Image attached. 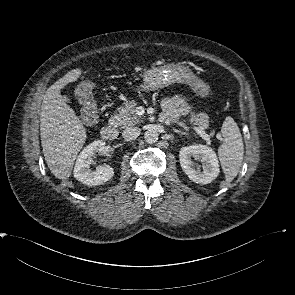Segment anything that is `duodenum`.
Here are the masks:
<instances>
[{
  "instance_id": "duodenum-1",
  "label": "duodenum",
  "mask_w": 295,
  "mask_h": 295,
  "mask_svg": "<svg viewBox=\"0 0 295 295\" xmlns=\"http://www.w3.org/2000/svg\"><path fill=\"white\" fill-rule=\"evenodd\" d=\"M102 137L107 141H113L118 136V129L115 124H109L101 129Z\"/></svg>"
}]
</instances>
